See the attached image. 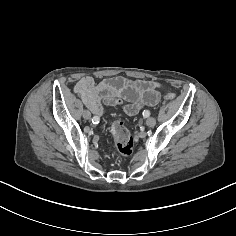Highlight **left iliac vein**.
Wrapping results in <instances>:
<instances>
[{
    "mask_svg": "<svg viewBox=\"0 0 236 236\" xmlns=\"http://www.w3.org/2000/svg\"><path fill=\"white\" fill-rule=\"evenodd\" d=\"M155 124H156V119L153 118V117H149L146 120V125L149 126V127H153V126H155Z\"/></svg>",
    "mask_w": 236,
    "mask_h": 236,
    "instance_id": "left-iliac-vein-1",
    "label": "left iliac vein"
}]
</instances>
